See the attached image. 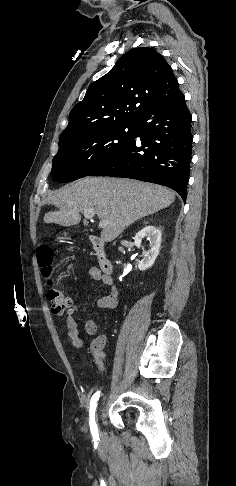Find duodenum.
Segmentation results:
<instances>
[{
  "instance_id": "duodenum-1",
  "label": "duodenum",
  "mask_w": 236,
  "mask_h": 486,
  "mask_svg": "<svg viewBox=\"0 0 236 486\" xmlns=\"http://www.w3.org/2000/svg\"><path fill=\"white\" fill-rule=\"evenodd\" d=\"M90 240L101 271L106 275H111L113 271V265L106 255L105 244L103 240L98 237H91Z\"/></svg>"
}]
</instances>
